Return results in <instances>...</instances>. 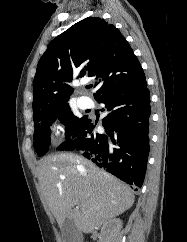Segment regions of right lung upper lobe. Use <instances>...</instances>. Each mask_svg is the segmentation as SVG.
<instances>
[{
    "instance_id": "obj_1",
    "label": "right lung upper lobe",
    "mask_w": 187,
    "mask_h": 242,
    "mask_svg": "<svg viewBox=\"0 0 187 242\" xmlns=\"http://www.w3.org/2000/svg\"><path fill=\"white\" fill-rule=\"evenodd\" d=\"M95 79L97 100L103 94L145 77L125 37L98 17L85 18L54 38L38 62L32 104L42 114L68 104L73 78Z\"/></svg>"
}]
</instances>
